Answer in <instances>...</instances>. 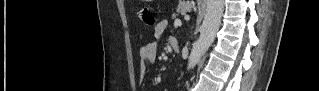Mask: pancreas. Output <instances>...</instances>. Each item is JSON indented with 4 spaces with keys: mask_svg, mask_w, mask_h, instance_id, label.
Masks as SVG:
<instances>
[{
    "mask_svg": "<svg viewBox=\"0 0 319 91\" xmlns=\"http://www.w3.org/2000/svg\"><path fill=\"white\" fill-rule=\"evenodd\" d=\"M190 10H191V6H189V5H181L180 4L177 7V14H175L174 17H176L179 13L185 14V13L189 12Z\"/></svg>",
    "mask_w": 319,
    "mask_h": 91,
    "instance_id": "obj_1",
    "label": "pancreas"
}]
</instances>
